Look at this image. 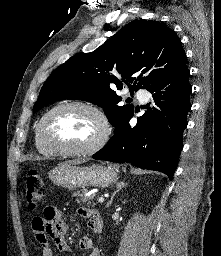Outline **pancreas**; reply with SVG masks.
<instances>
[{
	"label": "pancreas",
	"instance_id": "obj_1",
	"mask_svg": "<svg viewBox=\"0 0 221 256\" xmlns=\"http://www.w3.org/2000/svg\"><path fill=\"white\" fill-rule=\"evenodd\" d=\"M84 190L76 191L72 194V197H75V201L77 204H86V205H92V207L96 206V203L93 201L94 196H84Z\"/></svg>",
	"mask_w": 221,
	"mask_h": 256
}]
</instances>
